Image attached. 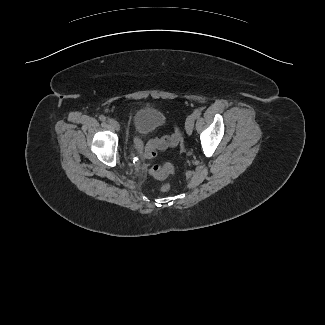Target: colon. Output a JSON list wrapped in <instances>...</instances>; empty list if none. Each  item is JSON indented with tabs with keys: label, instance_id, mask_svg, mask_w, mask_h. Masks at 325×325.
Wrapping results in <instances>:
<instances>
[{
	"label": "colon",
	"instance_id": "5ec220e1",
	"mask_svg": "<svg viewBox=\"0 0 325 325\" xmlns=\"http://www.w3.org/2000/svg\"><path fill=\"white\" fill-rule=\"evenodd\" d=\"M181 140V132L178 127H175L173 133L170 136H165L158 139L151 140L147 146L145 147V159L151 160L153 159L158 150L166 149L168 147L176 146ZM149 172L152 176L157 179H166L169 176L175 174V167L170 163L162 164V165H153L149 168ZM170 189L169 183H164L161 185L160 190L165 192Z\"/></svg>",
	"mask_w": 325,
	"mask_h": 325
}]
</instances>
